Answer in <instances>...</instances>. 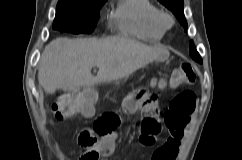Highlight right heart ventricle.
<instances>
[{
	"instance_id": "e07e8e85",
	"label": "right heart ventricle",
	"mask_w": 242,
	"mask_h": 160,
	"mask_svg": "<svg viewBox=\"0 0 242 160\" xmlns=\"http://www.w3.org/2000/svg\"><path fill=\"white\" fill-rule=\"evenodd\" d=\"M159 12L151 0H118L110 15V23L123 36L157 42L166 30L158 21Z\"/></svg>"
}]
</instances>
